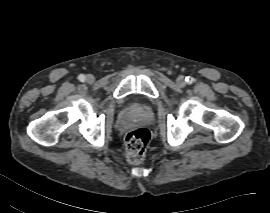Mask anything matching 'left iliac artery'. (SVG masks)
Instances as JSON below:
<instances>
[{"mask_svg":"<svg viewBox=\"0 0 270 213\" xmlns=\"http://www.w3.org/2000/svg\"><path fill=\"white\" fill-rule=\"evenodd\" d=\"M186 81H187L188 83H191V82L193 81V78H191V77H186Z\"/></svg>","mask_w":270,"mask_h":213,"instance_id":"left-iliac-artery-1","label":"left iliac artery"}]
</instances>
